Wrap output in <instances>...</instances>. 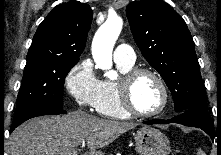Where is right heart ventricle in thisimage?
<instances>
[{
    "label": "right heart ventricle",
    "instance_id": "1",
    "mask_svg": "<svg viewBox=\"0 0 221 155\" xmlns=\"http://www.w3.org/2000/svg\"><path fill=\"white\" fill-rule=\"evenodd\" d=\"M116 64L122 75L134 68V64L121 62H116ZM94 108L99 114L109 118L127 119L131 116L121 105L118 81L109 79L100 80L99 95Z\"/></svg>",
    "mask_w": 221,
    "mask_h": 155
}]
</instances>
